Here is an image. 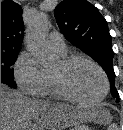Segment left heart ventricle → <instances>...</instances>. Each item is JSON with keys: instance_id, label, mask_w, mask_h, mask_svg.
I'll return each instance as SVG.
<instances>
[{"instance_id": "obj_1", "label": "left heart ventricle", "mask_w": 123, "mask_h": 130, "mask_svg": "<svg viewBox=\"0 0 123 130\" xmlns=\"http://www.w3.org/2000/svg\"><path fill=\"white\" fill-rule=\"evenodd\" d=\"M60 71L59 62L52 72ZM65 79L70 90L78 97L95 99L104 91V81L99 71L86 62H76L65 73Z\"/></svg>"}]
</instances>
